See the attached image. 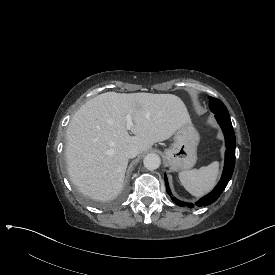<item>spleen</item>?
<instances>
[{
  "label": "spleen",
  "instance_id": "spleen-1",
  "mask_svg": "<svg viewBox=\"0 0 275 275\" xmlns=\"http://www.w3.org/2000/svg\"><path fill=\"white\" fill-rule=\"evenodd\" d=\"M220 163L214 161L207 167L198 170L185 171L179 174L184 188L194 197H202L210 193L218 182Z\"/></svg>",
  "mask_w": 275,
  "mask_h": 275
}]
</instances>
